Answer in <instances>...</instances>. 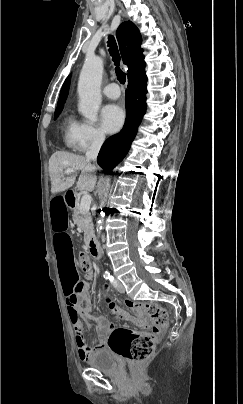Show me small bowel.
Listing matches in <instances>:
<instances>
[{"label": "small bowel", "mask_w": 243, "mask_h": 404, "mask_svg": "<svg viewBox=\"0 0 243 404\" xmlns=\"http://www.w3.org/2000/svg\"><path fill=\"white\" fill-rule=\"evenodd\" d=\"M50 221L53 230L54 249L58 261L63 292L66 298L67 311L70 321L75 330V340L79 357L86 360L90 352L94 349L86 343L84 330L80 318L90 320L88 284L79 280L72 248L71 237L68 233V205L65 193L55 194L50 200ZM93 273L89 272L87 279H91ZM105 297L110 304L113 314L120 316L122 310L113 300L111 291L105 288ZM113 325L101 322L94 326L97 336L96 347H103L106 338L112 332Z\"/></svg>", "instance_id": "1"}]
</instances>
